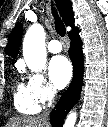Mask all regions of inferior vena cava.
Returning <instances> with one entry per match:
<instances>
[{
    "label": "inferior vena cava",
    "instance_id": "obj_1",
    "mask_svg": "<svg viewBox=\"0 0 108 127\" xmlns=\"http://www.w3.org/2000/svg\"><path fill=\"white\" fill-rule=\"evenodd\" d=\"M56 93V90L51 88L49 89V92H48V107H50L52 105V100L54 98V95ZM41 119L43 121H47L49 122V117H48V114L47 113H44L42 116H41Z\"/></svg>",
    "mask_w": 108,
    "mask_h": 127
}]
</instances>
